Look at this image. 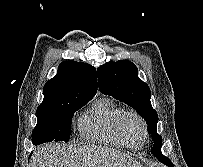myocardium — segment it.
<instances>
[{
  "label": "myocardium",
  "instance_id": "obj_1",
  "mask_svg": "<svg viewBox=\"0 0 203 167\" xmlns=\"http://www.w3.org/2000/svg\"><path fill=\"white\" fill-rule=\"evenodd\" d=\"M135 118L136 120L139 121V123L141 124L142 126V130H143V140H142V143L137 145V144H134L129 136L127 135L126 133V130H125V121L128 119V118ZM118 130L120 132V134L123 136V138L128 142V144H130L132 147H140L142 145H144L147 141V138H148V126H147V123L145 121V119L136 111H125L119 118L118 120Z\"/></svg>",
  "mask_w": 203,
  "mask_h": 167
}]
</instances>
